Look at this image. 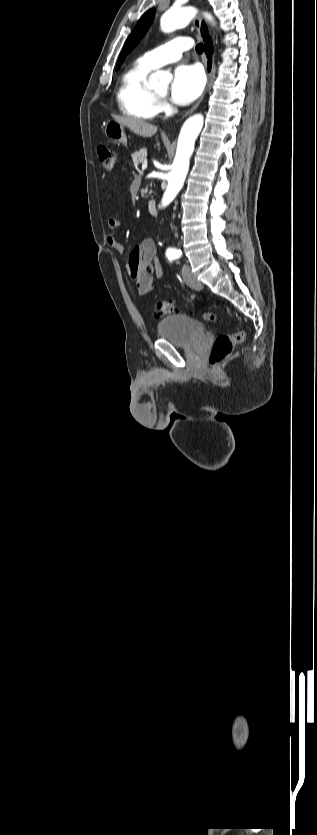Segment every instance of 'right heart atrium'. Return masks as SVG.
Wrapping results in <instances>:
<instances>
[{"instance_id":"1","label":"right heart atrium","mask_w":317,"mask_h":835,"mask_svg":"<svg viewBox=\"0 0 317 835\" xmlns=\"http://www.w3.org/2000/svg\"><path fill=\"white\" fill-rule=\"evenodd\" d=\"M167 109H168L167 103L163 100H160L159 101V111L162 112V111H166Z\"/></svg>"}]
</instances>
